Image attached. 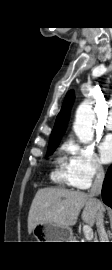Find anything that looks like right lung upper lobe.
<instances>
[{"mask_svg": "<svg viewBox=\"0 0 112 270\" xmlns=\"http://www.w3.org/2000/svg\"><path fill=\"white\" fill-rule=\"evenodd\" d=\"M74 100V92L71 90L67 93L61 111L56 118L49 143L59 142L64 134L70 117V110Z\"/></svg>", "mask_w": 112, "mask_h": 270, "instance_id": "obj_1", "label": "right lung upper lobe"}]
</instances>
